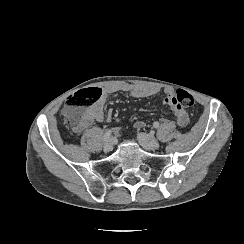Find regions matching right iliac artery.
<instances>
[{
  "mask_svg": "<svg viewBox=\"0 0 244 244\" xmlns=\"http://www.w3.org/2000/svg\"><path fill=\"white\" fill-rule=\"evenodd\" d=\"M112 132H113V131H112L111 129L107 130V131L105 132L104 136H103V140H104V141L108 140V139L111 137Z\"/></svg>",
  "mask_w": 244,
  "mask_h": 244,
  "instance_id": "obj_1",
  "label": "right iliac artery"
}]
</instances>
